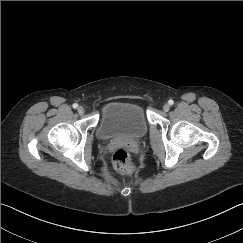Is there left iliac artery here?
Masks as SVG:
<instances>
[{
	"label": "left iliac artery",
	"instance_id": "left-iliac-artery-1",
	"mask_svg": "<svg viewBox=\"0 0 243 243\" xmlns=\"http://www.w3.org/2000/svg\"><path fill=\"white\" fill-rule=\"evenodd\" d=\"M168 103H169V105H173V104H174V101H173L172 99H170V100L168 101Z\"/></svg>",
	"mask_w": 243,
	"mask_h": 243
}]
</instances>
